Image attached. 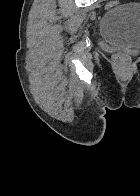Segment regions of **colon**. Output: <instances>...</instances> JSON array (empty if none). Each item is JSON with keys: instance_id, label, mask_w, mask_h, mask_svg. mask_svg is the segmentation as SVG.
Instances as JSON below:
<instances>
[{"instance_id": "1", "label": "colon", "mask_w": 140, "mask_h": 196, "mask_svg": "<svg viewBox=\"0 0 140 196\" xmlns=\"http://www.w3.org/2000/svg\"><path fill=\"white\" fill-rule=\"evenodd\" d=\"M118 4L119 2L117 0H110L106 3L105 8L112 9L116 7ZM113 59L117 67L121 70L127 69L130 64V56L128 53L124 51H118L114 53Z\"/></svg>"}]
</instances>
